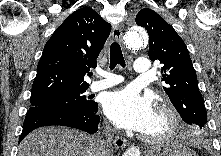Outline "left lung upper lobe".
I'll return each mask as SVG.
<instances>
[{"label": "left lung upper lobe", "instance_id": "1", "mask_svg": "<svg viewBox=\"0 0 221 156\" xmlns=\"http://www.w3.org/2000/svg\"><path fill=\"white\" fill-rule=\"evenodd\" d=\"M136 24L149 34L148 55L152 61L159 60L163 64V89L181 118L187 124L205 128L207 112L185 43L174 28L151 9H141L136 15Z\"/></svg>", "mask_w": 221, "mask_h": 156}]
</instances>
